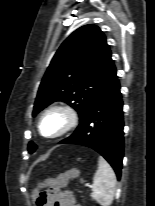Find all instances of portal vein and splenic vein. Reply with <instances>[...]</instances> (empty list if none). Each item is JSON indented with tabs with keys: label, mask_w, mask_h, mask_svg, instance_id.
<instances>
[{
	"label": "portal vein and splenic vein",
	"mask_w": 155,
	"mask_h": 206,
	"mask_svg": "<svg viewBox=\"0 0 155 206\" xmlns=\"http://www.w3.org/2000/svg\"><path fill=\"white\" fill-rule=\"evenodd\" d=\"M84 186L85 187H91V184L90 183H85Z\"/></svg>",
	"instance_id": "1"
}]
</instances>
